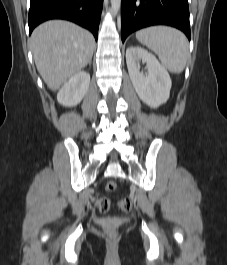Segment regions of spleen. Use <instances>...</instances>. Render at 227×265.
<instances>
[{"label": "spleen", "mask_w": 227, "mask_h": 265, "mask_svg": "<svg viewBox=\"0 0 227 265\" xmlns=\"http://www.w3.org/2000/svg\"><path fill=\"white\" fill-rule=\"evenodd\" d=\"M136 38L155 52L170 72L178 74L184 70L189 48L181 31L167 26H153L137 31Z\"/></svg>", "instance_id": "obj_1"}]
</instances>
